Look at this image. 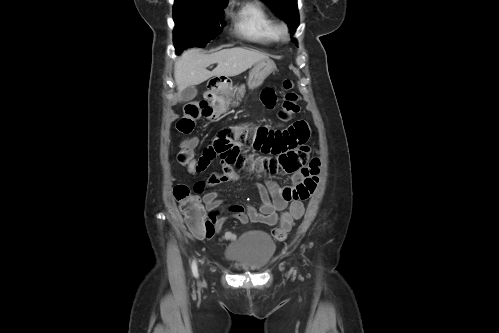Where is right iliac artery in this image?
<instances>
[{
	"label": "right iliac artery",
	"mask_w": 499,
	"mask_h": 333,
	"mask_svg": "<svg viewBox=\"0 0 499 333\" xmlns=\"http://www.w3.org/2000/svg\"><path fill=\"white\" fill-rule=\"evenodd\" d=\"M191 268H192L193 275H194L195 277H198V269H197V264H196V261H193V262H192V266H191Z\"/></svg>",
	"instance_id": "right-iliac-artery-1"
}]
</instances>
